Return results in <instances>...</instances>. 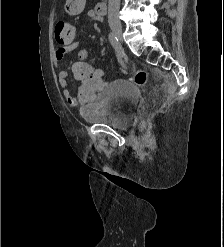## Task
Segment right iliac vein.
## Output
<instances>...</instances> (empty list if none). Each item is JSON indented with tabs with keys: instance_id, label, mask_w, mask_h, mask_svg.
I'll list each match as a JSON object with an SVG mask.
<instances>
[{
	"instance_id": "1",
	"label": "right iliac vein",
	"mask_w": 224,
	"mask_h": 247,
	"mask_svg": "<svg viewBox=\"0 0 224 247\" xmlns=\"http://www.w3.org/2000/svg\"><path fill=\"white\" fill-rule=\"evenodd\" d=\"M111 30L114 35L121 41L122 40V26L120 24H111Z\"/></svg>"
}]
</instances>
